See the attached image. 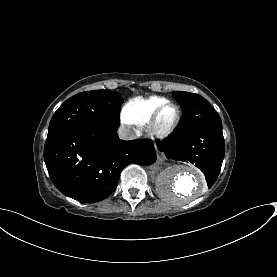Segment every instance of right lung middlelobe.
<instances>
[{"mask_svg": "<svg viewBox=\"0 0 277 277\" xmlns=\"http://www.w3.org/2000/svg\"><path fill=\"white\" fill-rule=\"evenodd\" d=\"M122 95L111 90H94L79 93L54 113L48 136L60 131L92 124H119Z\"/></svg>", "mask_w": 277, "mask_h": 277, "instance_id": "right-lung-middle-lobe-1", "label": "right lung middle lobe"}]
</instances>
